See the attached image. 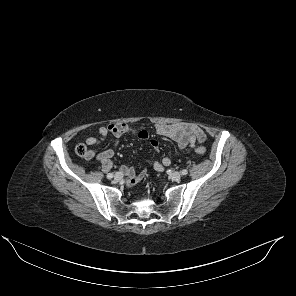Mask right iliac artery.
<instances>
[{
    "instance_id": "82829eb1",
    "label": "right iliac artery",
    "mask_w": 296,
    "mask_h": 296,
    "mask_svg": "<svg viewBox=\"0 0 296 296\" xmlns=\"http://www.w3.org/2000/svg\"><path fill=\"white\" fill-rule=\"evenodd\" d=\"M107 178H108V179L113 178V173H109V174H107Z\"/></svg>"
}]
</instances>
